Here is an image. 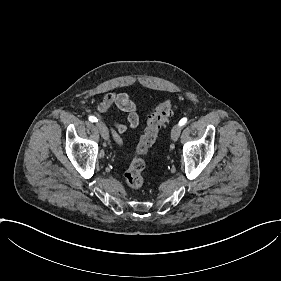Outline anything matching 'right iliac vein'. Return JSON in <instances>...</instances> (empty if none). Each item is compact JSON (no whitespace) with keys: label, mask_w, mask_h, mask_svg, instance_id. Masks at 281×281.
Segmentation results:
<instances>
[{"label":"right iliac vein","mask_w":281,"mask_h":281,"mask_svg":"<svg viewBox=\"0 0 281 281\" xmlns=\"http://www.w3.org/2000/svg\"><path fill=\"white\" fill-rule=\"evenodd\" d=\"M97 126L99 127V129L101 130V134H102V138L103 140L107 141V140H110V137L108 135V129L106 128V125L103 124L102 122H98L97 123Z\"/></svg>","instance_id":"1"}]
</instances>
